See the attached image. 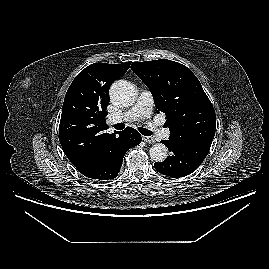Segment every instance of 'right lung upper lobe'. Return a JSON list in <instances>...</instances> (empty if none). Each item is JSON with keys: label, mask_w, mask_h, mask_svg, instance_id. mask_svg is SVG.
I'll list each match as a JSON object with an SVG mask.
<instances>
[{"label": "right lung upper lobe", "mask_w": 269, "mask_h": 269, "mask_svg": "<svg viewBox=\"0 0 269 269\" xmlns=\"http://www.w3.org/2000/svg\"><path fill=\"white\" fill-rule=\"evenodd\" d=\"M131 62L94 63L82 70L68 88L59 125V141L76 167L88 164L117 137L106 132L108 93L113 81L125 74Z\"/></svg>", "instance_id": "cb5924a9"}]
</instances>
